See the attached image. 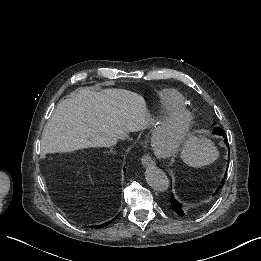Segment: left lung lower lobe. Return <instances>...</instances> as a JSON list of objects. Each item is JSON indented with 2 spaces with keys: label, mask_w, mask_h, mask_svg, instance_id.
I'll list each match as a JSON object with an SVG mask.
<instances>
[{
  "label": "left lung lower lobe",
  "mask_w": 261,
  "mask_h": 261,
  "mask_svg": "<svg viewBox=\"0 0 261 261\" xmlns=\"http://www.w3.org/2000/svg\"><path fill=\"white\" fill-rule=\"evenodd\" d=\"M222 184H224V180L221 182ZM171 209L174 213H176L179 216H184L186 213L185 208L182 206V204L180 202H178L174 196L172 195L171 198Z\"/></svg>",
  "instance_id": "0a47b994"
}]
</instances>
